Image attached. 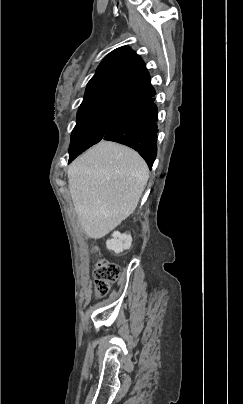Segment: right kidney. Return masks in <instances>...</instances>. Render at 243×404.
I'll list each match as a JSON object with an SVG mask.
<instances>
[{
    "label": "right kidney",
    "mask_w": 243,
    "mask_h": 404,
    "mask_svg": "<svg viewBox=\"0 0 243 404\" xmlns=\"http://www.w3.org/2000/svg\"><path fill=\"white\" fill-rule=\"evenodd\" d=\"M132 238L129 234H120V232H113L111 240H107V250H113L115 254H120L124 250H130Z\"/></svg>",
    "instance_id": "1"
}]
</instances>
